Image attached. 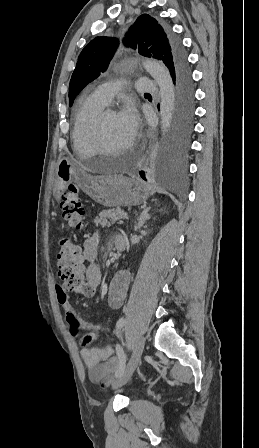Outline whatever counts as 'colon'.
I'll return each instance as SVG.
<instances>
[{"label":"colon","mask_w":259,"mask_h":448,"mask_svg":"<svg viewBox=\"0 0 259 448\" xmlns=\"http://www.w3.org/2000/svg\"><path fill=\"white\" fill-rule=\"evenodd\" d=\"M61 208L63 218L71 227L80 229L84 226L85 210L77 186H69L62 197ZM58 248V271L64 289L84 295L93 294L94 291L85 276L84 258L79 246L69 238H61ZM98 335L96 332L87 333L84 337L85 343L92 344Z\"/></svg>","instance_id":"1"}]
</instances>
